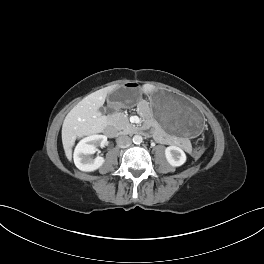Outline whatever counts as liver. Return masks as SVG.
Listing matches in <instances>:
<instances>
[{
	"label": "liver",
	"instance_id": "6515ba94",
	"mask_svg": "<svg viewBox=\"0 0 264 264\" xmlns=\"http://www.w3.org/2000/svg\"><path fill=\"white\" fill-rule=\"evenodd\" d=\"M112 87L100 89L82 99L65 117L62 126V143L68 160L72 158L75 140L83 136L101 133L108 124V118L99 111ZM145 93L155 90L152 85H145Z\"/></svg>",
	"mask_w": 264,
	"mask_h": 264
}]
</instances>
